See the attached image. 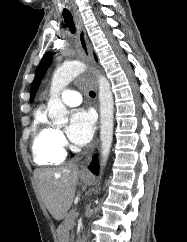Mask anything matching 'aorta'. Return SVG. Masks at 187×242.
Segmentation results:
<instances>
[{
	"instance_id": "obj_1",
	"label": "aorta",
	"mask_w": 187,
	"mask_h": 242,
	"mask_svg": "<svg viewBox=\"0 0 187 242\" xmlns=\"http://www.w3.org/2000/svg\"><path fill=\"white\" fill-rule=\"evenodd\" d=\"M87 69L79 61H73L58 67L53 74L50 98L48 101L49 117L54 121H64L67 108L60 98V92L79 74ZM99 101H100V142H101V168L106 165L113 140V95L109 81L103 76H98Z\"/></svg>"
}]
</instances>
